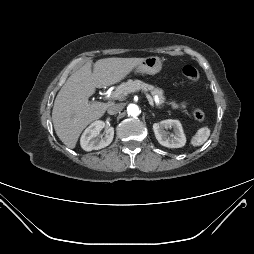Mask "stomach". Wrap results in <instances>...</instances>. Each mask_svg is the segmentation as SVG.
Returning a JSON list of instances; mask_svg holds the SVG:
<instances>
[{"mask_svg":"<svg viewBox=\"0 0 254 254\" xmlns=\"http://www.w3.org/2000/svg\"><path fill=\"white\" fill-rule=\"evenodd\" d=\"M162 69V62L159 57L151 56L144 58V60L135 67V74H149L153 75L160 72Z\"/></svg>","mask_w":254,"mask_h":254,"instance_id":"stomach-1","label":"stomach"}]
</instances>
